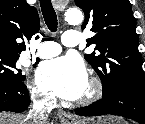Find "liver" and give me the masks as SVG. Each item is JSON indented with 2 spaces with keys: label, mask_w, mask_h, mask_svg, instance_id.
Listing matches in <instances>:
<instances>
[{
  "label": "liver",
  "mask_w": 145,
  "mask_h": 124,
  "mask_svg": "<svg viewBox=\"0 0 145 124\" xmlns=\"http://www.w3.org/2000/svg\"><path fill=\"white\" fill-rule=\"evenodd\" d=\"M0 124H25L21 115L0 113Z\"/></svg>",
  "instance_id": "1"
}]
</instances>
